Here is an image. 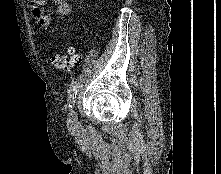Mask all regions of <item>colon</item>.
I'll list each match as a JSON object with an SVG mask.
<instances>
[{"instance_id":"obj_1","label":"colon","mask_w":221,"mask_h":174,"mask_svg":"<svg viewBox=\"0 0 221 174\" xmlns=\"http://www.w3.org/2000/svg\"><path fill=\"white\" fill-rule=\"evenodd\" d=\"M50 64L63 71H71L81 62L80 57L70 48L66 53H55L49 58Z\"/></svg>"}]
</instances>
